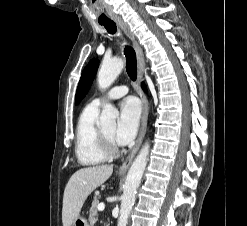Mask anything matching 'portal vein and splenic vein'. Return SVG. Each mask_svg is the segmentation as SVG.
Instances as JSON below:
<instances>
[{
  "label": "portal vein and splenic vein",
  "instance_id": "obj_1",
  "mask_svg": "<svg viewBox=\"0 0 247 226\" xmlns=\"http://www.w3.org/2000/svg\"><path fill=\"white\" fill-rule=\"evenodd\" d=\"M97 208H98L99 211H103L104 208H105V204L103 202H101V203L98 204Z\"/></svg>",
  "mask_w": 247,
  "mask_h": 226
}]
</instances>
